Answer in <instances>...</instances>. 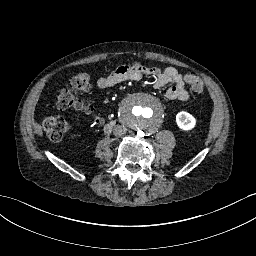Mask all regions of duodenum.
I'll use <instances>...</instances> for the list:
<instances>
[{"instance_id": "duodenum-1", "label": "duodenum", "mask_w": 256, "mask_h": 256, "mask_svg": "<svg viewBox=\"0 0 256 256\" xmlns=\"http://www.w3.org/2000/svg\"><path fill=\"white\" fill-rule=\"evenodd\" d=\"M115 125H116V122L114 120L106 122L103 127L105 133H111Z\"/></svg>"}]
</instances>
